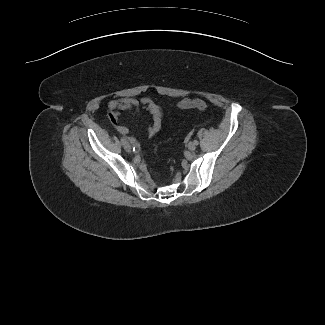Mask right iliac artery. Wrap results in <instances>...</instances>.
<instances>
[{"mask_svg":"<svg viewBox=\"0 0 325 325\" xmlns=\"http://www.w3.org/2000/svg\"><path fill=\"white\" fill-rule=\"evenodd\" d=\"M121 143L124 145L126 143V140L122 137L121 138Z\"/></svg>","mask_w":325,"mask_h":325,"instance_id":"82829eb1","label":"right iliac artery"}]
</instances>
